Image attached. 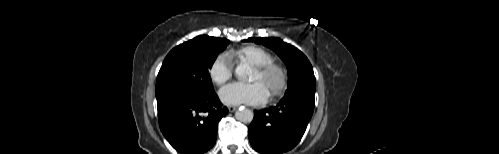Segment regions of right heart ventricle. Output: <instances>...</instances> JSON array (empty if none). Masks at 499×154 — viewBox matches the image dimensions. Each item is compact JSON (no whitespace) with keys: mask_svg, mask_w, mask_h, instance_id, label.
<instances>
[{"mask_svg":"<svg viewBox=\"0 0 499 154\" xmlns=\"http://www.w3.org/2000/svg\"><path fill=\"white\" fill-rule=\"evenodd\" d=\"M226 56L231 61L248 62L254 66L264 65L273 61V56L268 50L256 45H249L229 51Z\"/></svg>","mask_w":499,"mask_h":154,"instance_id":"right-heart-ventricle-1","label":"right heart ventricle"}]
</instances>
